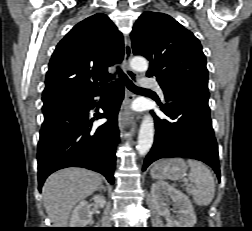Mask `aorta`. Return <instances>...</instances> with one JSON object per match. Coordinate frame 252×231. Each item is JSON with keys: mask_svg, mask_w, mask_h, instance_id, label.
<instances>
[{"mask_svg": "<svg viewBox=\"0 0 252 231\" xmlns=\"http://www.w3.org/2000/svg\"><path fill=\"white\" fill-rule=\"evenodd\" d=\"M130 66L138 72H146L148 70V62L144 57H134ZM154 140V121L150 114L144 116L137 141V150L140 155H146L152 147Z\"/></svg>", "mask_w": 252, "mask_h": 231, "instance_id": "1", "label": "aorta"}]
</instances>
